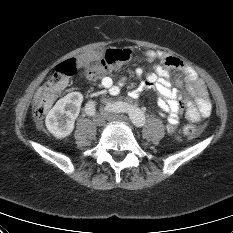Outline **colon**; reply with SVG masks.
<instances>
[{
  "instance_id": "1",
  "label": "colon",
  "mask_w": 233,
  "mask_h": 233,
  "mask_svg": "<svg viewBox=\"0 0 233 233\" xmlns=\"http://www.w3.org/2000/svg\"><path fill=\"white\" fill-rule=\"evenodd\" d=\"M131 58L129 49H110L106 52L104 59L100 63L91 65L86 75L91 80L100 79L114 68L127 63ZM77 70L76 62L68 59L60 63L54 73L38 89L34 98V115L37 119H42L49 109L59 91L66 85L70 77ZM184 135L195 137L202 132V127L195 124H188L183 129Z\"/></svg>"
}]
</instances>
